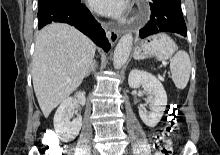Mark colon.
I'll return each mask as SVG.
<instances>
[{
    "label": "colon",
    "mask_w": 220,
    "mask_h": 155,
    "mask_svg": "<svg viewBox=\"0 0 220 155\" xmlns=\"http://www.w3.org/2000/svg\"><path fill=\"white\" fill-rule=\"evenodd\" d=\"M180 122V113L176 104L171 105L165 117L164 133H159L156 137V144H149V149H157L156 155H171V132H173ZM50 137H46L44 145L46 147V155H59L62 147L57 142H50Z\"/></svg>",
    "instance_id": "1"
}]
</instances>
